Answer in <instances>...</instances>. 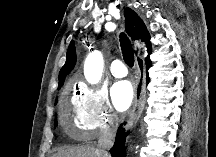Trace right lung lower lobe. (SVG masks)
Wrapping results in <instances>:
<instances>
[{"label":"right lung lower lobe","mask_w":216,"mask_h":157,"mask_svg":"<svg viewBox=\"0 0 216 157\" xmlns=\"http://www.w3.org/2000/svg\"><path fill=\"white\" fill-rule=\"evenodd\" d=\"M146 62V69L148 70L152 63L150 61V58L145 60ZM149 82V76L147 73V83ZM127 136V133H125V129H121V127L118 129L116 134V139L113 147L111 148V155L112 157H126L125 153V138Z\"/></svg>","instance_id":"1"}]
</instances>
